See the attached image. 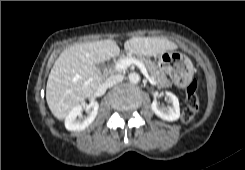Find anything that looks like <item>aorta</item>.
Masks as SVG:
<instances>
[{"instance_id":"1","label":"aorta","mask_w":245,"mask_h":170,"mask_svg":"<svg viewBox=\"0 0 245 170\" xmlns=\"http://www.w3.org/2000/svg\"><path fill=\"white\" fill-rule=\"evenodd\" d=\"M128 78H129V81L131 83H134V84H136V83H138L140 81V75L138 73H134V72L130 73L128 75Z\"/></svg>"}]
</instances>
